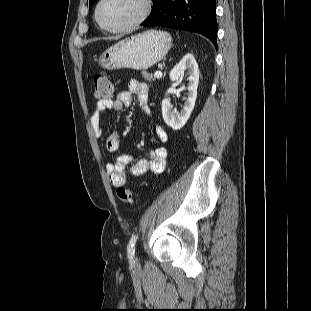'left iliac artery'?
I'll return each instance as SVG.
<instances>
[{
    "mask_svg": "<svg viewBox=\"0 0 311 311\" xmlns=\"http://www.w3.org/2000/svg\"><path fill=\"white\" fill-rule=\"evenodd\" d=\"M138 239V235H134L131 237L128 246H127V254L130 262L133 261L134 253H135V244Z\"/></svg>",
    "mask_w": 311,
    "mask_h": 311,
    "instance_id": "44dca946",
    "label": "left iliac artery"
}]
</instances>
